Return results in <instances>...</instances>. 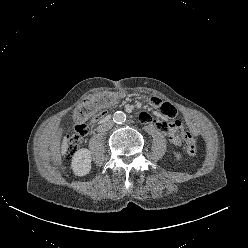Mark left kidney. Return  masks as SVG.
<instances>
[{"label": "left kidney", "instance_id": "1", "mask_svg": "<svg viewBox=\"0 0 248 248\" xmlns=\"http://www.w3.org/2000/svg\"><path fill=\"white\" fill-rule=\"evenodd\" d=\"M174 155L177 159H180L182 157L179 152H174Z\"/></svg>", "mask_w": 248, "mask_h": 248}]
</instances>
